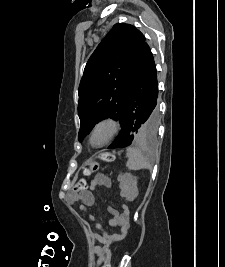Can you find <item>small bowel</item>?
Returning a JSON list of instances; mask_svg holds the SVG:
<instances>
[{
  "label": "small bowel",
  "instance_id": "obj_1",
  "mask_svg": "<svg viewBox=\"0 0 225 267\" xmlns=\"http://www.w3.org/2000/svg\"><path fill=\"white\" fill-rule=\"evenodd\" d=\"M98 187L112 188L111 179L105 175L99 174L91 182L89 190L84 191L81 194L70 193L67 195V201L71 204H74L77 201H82L83 204L79 206V211L87 213L89 207L94 205L93 191ZM108 213L111 216L109 224L118 228L119 232L111 234L104 230L99 223L94 224L97 231H92L91 237L93 240L100 243L94 247V253L98 257V264L102 262L103 257L110 246L122 241L129 232V209L127 205L123 204L121 211L109 207ZM89 220L92 221L91 216L89 217Z\"/></svg>",
  "mask_w": 225,
  "mask_h": 267
}]
</instances>
